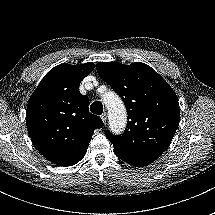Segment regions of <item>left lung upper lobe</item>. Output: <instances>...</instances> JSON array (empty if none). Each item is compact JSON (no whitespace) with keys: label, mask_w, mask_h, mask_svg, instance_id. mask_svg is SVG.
I'll use <instances>...</instances> for the list:
<instances>
[{"label":"left lung upper lobe","mask_w":215,"mask_h":215,"mask_svg":"<svg viewBox=\"0 0 215 215\" xmlns=\"http://www.w3.org/2000/svg\"><path fill=\"white\" fill-rule=\"evenodd\" d=\"M99 76L122 98L128 115L121 136L109 131L115 150L126 155L156 156L171 143L179 124V103L173 89L150 66L135 62H99Z\"/></svg>","instance_id":"obj_1"}]
</instances>
